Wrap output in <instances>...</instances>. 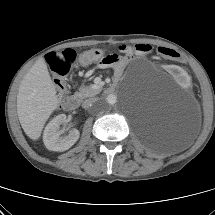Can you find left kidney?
Listing matches in <instances>:
<instances>
[{
	"label": "left kidney",
	"instance_id": "5707ae66",
	"mask_svg": "<svg viewBox=\"0 0 215 215\" xmlns=\"http://www.w3.org/2000/svg\"><path fill=\"white\" fill-rule=\"evenodd\" d=\"M170 74L177 78V81L186 88H193L195 86V79L189 76L187 72L183 71L181 67L173 65L169 69Z\"/></svg>",
	"mask_w": 215,
	"mask_h": 215
}]
</instances>
